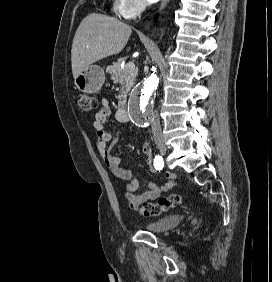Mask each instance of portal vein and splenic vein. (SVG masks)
<instances>
[{"label": "portal vein and splenic vein", "instance_id": "1", "mask_svg": "<svg viewBox=\"0 0 272 282\" xmlns=\"http://www.w3.org/2000/svg\"><path fill=\"white\" fill-rule=\"evenodd\" d=\"M124 69L130 71L135 70V64L133 62H129L125 65Z\"/></svg>", "mask_w": 272, "mask_h": 282}]
</instances>
